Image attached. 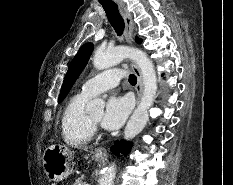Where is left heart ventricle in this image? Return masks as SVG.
Listing matches in <instances>:
<instances>
[{
  "label": "left heart ventricle",
  "instance_id": "obj_1",
  "mask_svg": "<svg viewBox=\"0 0 233 185\" xmlns=\"http://www.w3.org/2000/svg\"><path fill=\"white\" fill-rule=\"evenodd\" d=\"M102 114V111L96 112L95 114L91 115V118L99 122L101 120Z\"/></svg>",
  "mask_w": 233,
  "mask_h": 185
}]
</instances>
